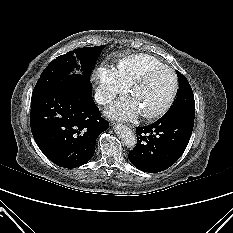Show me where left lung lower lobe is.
Listing matches in <instances>:
<instances>
[{
  "label": "left lung lower lobe",
  "instance_id": "1",
  "mask_svg": "<svg viewBox=\"0 0 233 233\" xmlns=\"http://www.w3.org/2000/svg\"><path fill=\"white\" fill-rule=\"evenodd\" d=\"M194 119L164 115L151 125L137 127V144L129 152L139 170L156 173L172 166L185 151Z\"/></svg>",
  "mask_w": 233,
  "mask_h": 233
}]
</instances>
